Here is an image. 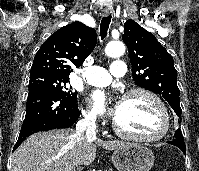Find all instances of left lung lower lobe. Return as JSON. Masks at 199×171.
I'll return each mask as SVG.
<instances>
[{
    "instance_id": "obj_1",
    "label": "left lung lower lobe",
    "mask_w": 199,
    "mask_h": 171,
    "mask_svg": "<svg viewBox=\"0 0 199 171\" xmlns=\"http://www.w3.org/2000/svg\"><path fill=\"white\" fill-rule=\"evenodd\" d=\"M175 139L172 141H168V143L177 146L178 148H180L183 153H186V147H185V143H184V139L181 133L180 129H177L174 135Z\"/></svg>"
}]
</instances>
